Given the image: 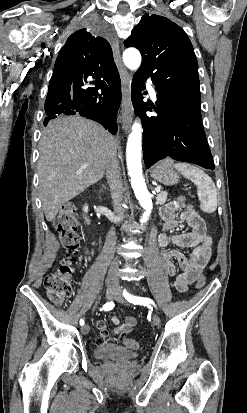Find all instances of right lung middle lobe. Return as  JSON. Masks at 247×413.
<instances>
[{
  "label": "right lung middle lobe",
  "mask_w": 247,
  "mask_h": 413,
  "mask_svg": "<svg viewBox=\"0 0 247 413\" xmlns=\"http://www.w3.org/2000/svg\"><path fill=\"white\" fill-rule=\"evenodd\" d=\"M65 91L59 88H48V94L53 98H61L64 95Z\"/></svg>",
  "instance_id": "1"
}]
</instances>
